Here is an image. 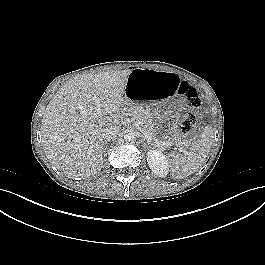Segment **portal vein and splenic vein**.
Returning a JSON list of instances; mask_svg holds the SVG:
<instances>
[{"mask_svg": "<svg viewBox=\"0 0 265 265\" xmlns=\"http://www.w3.org/2000/svg\"><path fill=\"white\" fill-rule=\"evenodd\" d=\"M95 104H96L97 108H96V110H95V113H94V114H95V115H100V114H101V109H100V102H99V100H98V99H96V101H95ZM136 126H137L139 129H141V128H140V126H141V124H140V123H137V124H136ZM143 133H144V135H145L146 139H148V140H150V139H151L148 133H146V132H143ZM161 146H166V147H169V146H171V145H170V144H168V143L162 142Z\"/></svg>", "mask_w": 265, "mask_h": 265, "instance_id": "portal-vein-and-splenic-vein-1", "label": "portal vein and splenic vein"}]
</instances>
